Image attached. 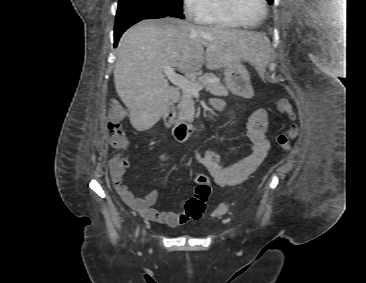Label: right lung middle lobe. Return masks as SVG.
<instances>
[{"instance_id":"dd1d6c3e","label":"right lung middle lobe","mask_w":366,"mask_h":283,"mask_svg":"<svg viewBox=\"0 0 366 283\" xmlns=\"http://www.w3.org/2000/svg\"><path fill=\"white\" fill-rule=\"evenodd\" d=\"M153 11L184 18L182 0H119L117 15Z\"/></svg>"}]
</instances>
